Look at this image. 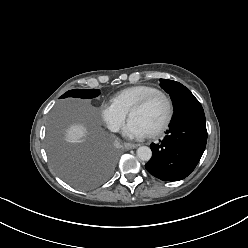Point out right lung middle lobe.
<instances>
[{
    "mask_svg": "<svg viewBox=\"0 0 248 248\" xmlns=\"http://www.w3.org/2000/svg\"><path fill=\"white\" fill-rule=\"evenodd\" d=\"M100 94L96 89H73L60 98H93ZM48 151L58 174L78 188H93L104 182L112 172L115 158L107 141L94 130L90 140L83 144L65 142L60 133L51 130Z\"/></svg>",
    "mask_w": 248,
    "mask_h": 248,
    "instance_id": "1",
    "label": "right lung middle lobe"
}]
</instances>
